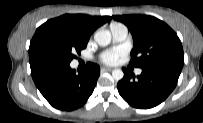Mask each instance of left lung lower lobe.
Returning a JSON list of instances; mask_svg holds the SVG:
<instances>
[{"label":"left lung lower lobe","instance_id":"left-lung-lower-lobe-1","mask_svg":"<svg viewBox=\"0 0 203 123\" xmlns=\"http://www.w3.org/2000/svg\"><path fill=\"white\" fill-rule=\"evenodd\" d=\"M124 77L117 84L121 97L138 109H149L159 105L175 88L181 69L172 67L142 68L135 77L123 68Z\"/></svg>","mask_w":203,"mask_h":123}]
</instances>
